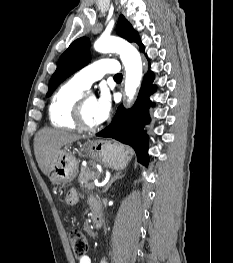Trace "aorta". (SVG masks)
<instances>
[{
	"label": "aorta",
	"mask_w": 233,
	"mask_h": 263,
	"mask_svg": "<svg viewBox=\"0 0 233 263\" xmlns=\"http://www.w3.org/2000/svg\"><path fill=\"white\" fill-rule=\"evenodd\" d=\"M96 51L101 53L116 52L125 66V94L132 100L142 79L141 56L137 49L127 41L114 36L100 37L94 44Z\"/></svg>",
	"instance_id": "aorta-1"
}]
</instances>
